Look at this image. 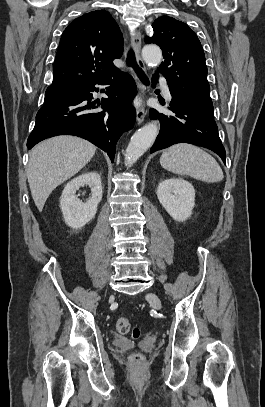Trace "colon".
Here are the masks:
<instances>
[{
    "instance_id": "5ec220e1",
    "label": "colon",
    "mask_w": 265,
    "mask_h": 407,
    "mask_svg": "<svg viewBox=\"0 0 265 407\" xmlns=\"http://www.w3.org/2000/svg\"><path fill=\"white\" fill-rule=\"evenodd\" d=\"M117 330L123 335H129L133 339H137L140 336V330L136 327H132L128 318L120 317L116 321ZM142 355L140 353H135L131 356V361L134 364H140L142 362Z\"/></svg>"
}]
</instances>
